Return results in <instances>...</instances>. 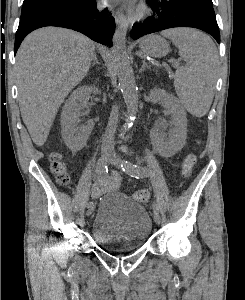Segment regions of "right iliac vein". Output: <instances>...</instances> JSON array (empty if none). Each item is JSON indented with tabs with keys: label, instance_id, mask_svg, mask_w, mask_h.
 <instances>
[{
	"label": "right iliac vein",
	"instance_id": "1",
	"mask_svg": "<svg viewBox=\"0 0 245 300\" xmlns=\"http://www.w3.org/2000/svg\"><path fill=\"white\" fill-rule=\"evenodd\" d=\"M103 159L108 162L109 158H110V153L108 151H104L103 152ZM95 209V204H93L92 206H90L89 204H87V211H86V215L89 216L93 213Z\"/></svg>",
	"mask_w": 245,
	"mask_h": 300
}]
</instances>
